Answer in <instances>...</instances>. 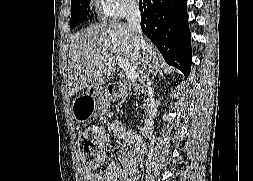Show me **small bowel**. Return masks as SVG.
Wrapping results in <instances>:
<instances>
[{"mask_svg": "<svg viewBox=\"0 0 253 181\" xmlns=\"http://www.w3.org/2000/svg\"><path fill=\"white\" fill-rule=\"evenodd\" d=\"M110 129L125 146L133 149L120 152L118 154L120 163L111 162L102 172L86 170L85 178L87 181H136L139 176L138 164L143 152V142L134 131L126 129L119 122H113Z\"/></svg>", "mask_w": 253, "mask_h": 181, "instance_id": "obj_1", "label": "small bowel"}]
</instances>
